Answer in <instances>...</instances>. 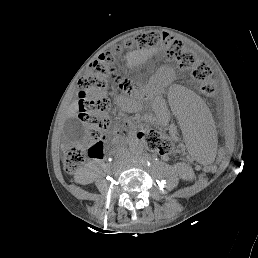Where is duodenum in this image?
<instances>
[{"mask_svg":"<svg viewBox=\"0 0 258 258\" xmlns=\"http://www.w3.org/2000/svg\"><path fill=\"white\" fill-rule=\"evenodd\" d=\"M104 154V153H103ZM88 155L89 157H91L92 159H97L98 157H101V156H98V153L96 151L95 148H90L89 151H88Z\"/></svg>","mask_w":258,"mask_h":258,"instance_id":"obj_1","label":"duodenum"}]
</instances>
